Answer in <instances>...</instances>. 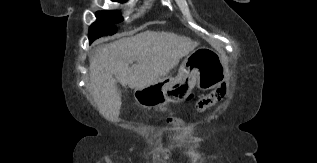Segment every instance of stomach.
<instances>
[{"label": "stomach", "mask_w": 317, "mask_h": 163, "mask_svg": "<svg viewBox=\"0 0 317 163\" xmlns=\"http://www.w3.org/2000/svg\"><path fill=\"white\" fill-rule=\"evenodd\" d=\"M226 76L227 68L220 56L210 48L201 47L187 57L175 78L138 90L135 99L145 108L182 102L196 85L202 90L213 89Z\"/></svg>", "instance_id": "1"}]
</instances>
